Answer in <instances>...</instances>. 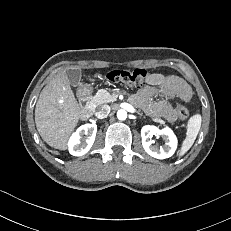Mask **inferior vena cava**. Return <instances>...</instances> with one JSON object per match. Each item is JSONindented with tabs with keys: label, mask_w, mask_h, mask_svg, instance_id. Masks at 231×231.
<instances>
[{
	"label": "inferior vena cava",
	"mask_w": 231,
	"mask_h": 231,
	"mask_svg": "<svg viewBox=\"0 0 231 231\" xmlns=\"http://www.w3.org/2000/svg\"><path fill=\"white\" fill-rule=\"evenodd\" d=\"M110 113V106L109 105H101L97 108L96 116L100 119H103L108 116Z\"/></svg>",
	"instance_id": "inferior-vena-cava-1"
}]
</instances>
